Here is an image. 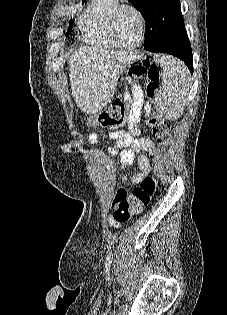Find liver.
Wrapping results in <instances>:
<instances>
[{"label":"liver","mask_w":227,"mask_h":315,"mask_svg":"<svg viewBox=\"0 0 227 315\" xmlns=\"http://www.w3.org/2000/svg\"><path fill=\"white\" fill-rule=\"evenodd\" d=\"M135 56L125 51L82 47L69 59L72 96L85 114H95L110 103L120 74Z\"/></svg>","instance_id":"1"}]
</instances>
